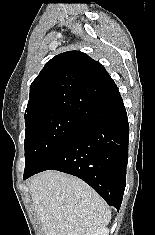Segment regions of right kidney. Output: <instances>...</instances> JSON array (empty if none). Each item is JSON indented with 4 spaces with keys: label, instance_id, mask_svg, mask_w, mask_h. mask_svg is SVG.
<instances>
[{
    "label": "right kidney",
    "instance_id": "obj_1",
    "mask_svg": "<svg viewBox=\"0 0 155 235\" xmlns=\"http://www.w3.org/2000/svg\"><path fill=\"white\" fill-rule=\"evenodd\" d=\"M94 235H109V230L107 228H102L97 234Z\"/></svg>",
    "mask_w": 155,
    "mask_h": 235
}]
</instances>
